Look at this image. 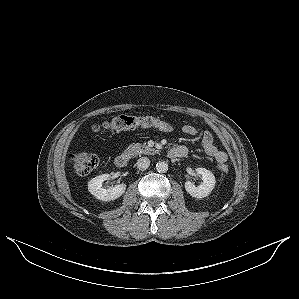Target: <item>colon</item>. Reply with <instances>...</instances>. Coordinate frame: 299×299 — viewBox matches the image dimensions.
Returning <instances> with one entry per match:
<instances>
[{
	"mask_svg": "<svg viewBox=\"0 0 299 299\" xmlns=\"http://www.w3.org/2000/svg\"><path fill=\"white\" fill-rule=\"evenodd\" d=\"M137 127L155 128L165 133H172L174 131V126L163 119L152 116L137 117L131 115L116 116L112 120L104 122L101 125H94L92 130L94 132H99L101 129L121 131ZM70 163L75 174L85 176L98 166L99 159L95 154L80 152L70 157ZM219 169L226 173L228 171V166L220 164Z\"/></svg>",
	"mask_w": 299,
	"mask_h": 299,
	"instance_id": "colon-1",
	"label": "colon"
}]
</instances>
